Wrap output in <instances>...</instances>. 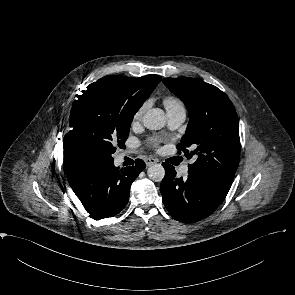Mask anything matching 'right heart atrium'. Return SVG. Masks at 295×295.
<instances>
[{
	"instance_id": "right-heart-atrium-1",
	"label": "right heart atrium",
	"mask_w": 295,
	"mask_h": 295,
	"mask_svg": "<svg viewBox=\"0 0 295 295\" xmlns=\"http://www.w3.org/2000/svg\"><path fill=\"white\" fill-rule=\"evenodd\" d=\"M149 104H150V101L147 100L140 105V107L135 111V113L133 115L134 122L139 121L142 118V116H143L145 110L148 108Z\"/></svg>"
}]
</instances>
